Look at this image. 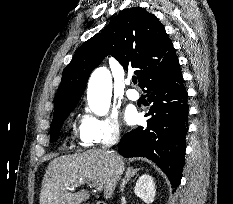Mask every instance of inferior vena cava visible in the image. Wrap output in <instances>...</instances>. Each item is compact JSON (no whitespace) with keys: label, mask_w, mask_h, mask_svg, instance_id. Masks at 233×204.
Masks as SVG:
<instances>
[{"label":"inferior vena cava","mask_w":233,"mask_h":204,"mask_svg":"<svg viewBox=\"0 0 233 204\" xmlns=\"http://www.w3.org/2000/svg\"><path fill=\"white\" fill-rule=\"evenodd\" d=\"M118 140V135L114 136L110 142L103 146V149H107L110 146L114 145Z\"/></svg>","instance_id":"1"}]
</instances>
